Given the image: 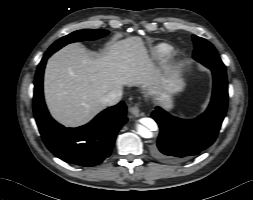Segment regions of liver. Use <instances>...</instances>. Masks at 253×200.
Here are the masks:
<instances>
[{
    "label": "liver",
    "mask_w": 253,
    "mask_h": 200,
    "mask_svg": "<svg viewBox=\"0 0 253 200\" xmlns=\"http://www.w3.org/2000/svg\"><path fill=\"white\" fill-rule=\"evenodd\" d=\"M154 66L139 37L113 43L92 58L78 44H69L47 61L44 94L51 115L65 126L90 121L105 108L103 97L124 86L152 90Z\"/></svg>",
    "instance_id": "liver-1"
}]
</instances>
